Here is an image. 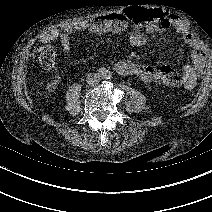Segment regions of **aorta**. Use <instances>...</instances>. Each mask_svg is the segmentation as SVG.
I'll use <instances>...</instances> for the list:
<instances>
[{
  "instance_id": "1",
  "label": "aorta",
  "mask_w": 212,
  "mask_h": 212,
  "mask_svg": "<svg viewBox=\"0 0 212 212\" xmlns=\"http://www.w3.org/2000/svg\"><path fill=\"white\" fill-rule=\"evenodd\" d=\"M106 79H110V76H108V77H105Z\"/></svg>"
}]
</instances>
